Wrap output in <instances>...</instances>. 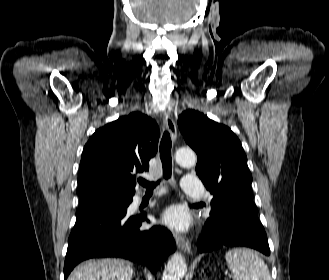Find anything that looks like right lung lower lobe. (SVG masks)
Masks as SVG:
<instances>
[{"mask_svg": "<svg viewBox=\"0 0 329 280\" xmlns=\"http://www.w3.org/2000/svg\"><path fill=\"white\" fill-rule=\"evenodd\" d=\"M131 202L132 197H128L124 206L103 204L78 215L68 240L64 280L78 263L96 257L126 258L148 266L152 272L158 270L175 250L173 236L157 226L140 231L146 216H126Z\"/></svg>", "mask_w": 329, "mask_h": 280, "instance_id": "right-lung-lower-lobe-1", "label": "right lung lower lobe"}]
</instances>
